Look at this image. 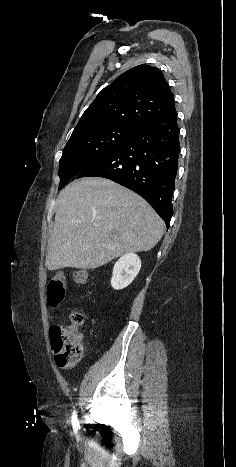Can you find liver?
Segmentation results:
<instances>
[{"label":"liver","mask_w":236,"mask_h":467,"mask_svg":"<svg viewBox=\"0 0 236 467\" xmlns=\"http://www.w3.org/2000/svg\"><path fill=\"white\" fill-rule=\"evenodd\" d=\"M45 265L95 269L124 253L152 249L164 222L135 192L105 178L75 180L59 194Z\"/></svg>","instance_id":"6515ba94"}]
</instances>
